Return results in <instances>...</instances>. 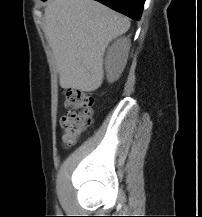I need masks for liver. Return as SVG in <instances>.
<instances>
[{
  "label": "liver",
  "instance_id": "6515ba94",
  "mask_svg": "<svg viewBox=\"0 0 202 217\" xmlns=\"http://www.w3.org/2000/svg\"><path fill=\"white\" fill-rule=\"evenodd\" d=\"M48 41L64 89L85 92L103 81L108 44L130 28V20L94 0H49L44 11Z\"/></svg>",
  "mask_w": 202,
  "mask_h": 217
}]
</instances>
